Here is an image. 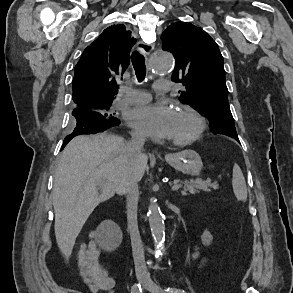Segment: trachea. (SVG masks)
Segmentation results:
<instances>
[{
	"mask_svg": "<svg viewBox=\"0 0 293 293\" xmlns=\"http://www.w3.org/2000/svg\"><path fill=\"white\" fill-rule=\"evenodd\" d=\"M132 65L135 70L137 80L139 82L143 81L146 76L145 58L138 51H135L132 54Z\"/></svg>",
	"mask_w": 293,
	"mask_h": 293,
	"instance_id": "1",
	"label": "trachea"
}]
</instances>
